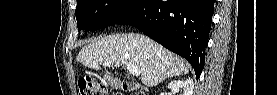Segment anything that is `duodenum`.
Returning <instances> with one entry per match:
<instances>
[{"instance_id": "duodenum-1", "label": "duodenum", "mask_w": 277, "mask_h": 95, "mask_svg": "<svg viewBox=\"0 0 277 95\" xmlns=\"http://www.w3.org/2000/svg\"><path fill=\"white\" fill-rule=\"evenodd\" d=\"M118 83L121 85V87L123 88V90L127 91V92H132L134 90H136L137 88L128 82H122V81H118Z\"/></svg>"}]
</instances>
